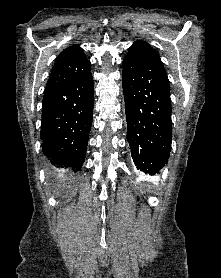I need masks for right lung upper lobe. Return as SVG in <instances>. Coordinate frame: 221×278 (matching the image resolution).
Returning <instances> with one entry per match:
<instances>
[{
  "label": "right lung upper lobe",
  "instance_id": "obj_1",
  "mask_svg": "<svg viewBox=\"0 0 221 278\" xmlns=\"http://www.w3.org/2000/svg\"><path fill=\"white\" fill-rule=\"evenodd\" d=\"M91 63L78 45L63 50L54 63L48 79L46 90L76 81L90 73Z\"/></svg>",
  "mask_w": 221,
  "mask_h": 278
}]
</instances>
